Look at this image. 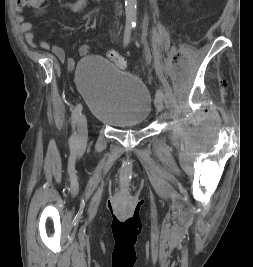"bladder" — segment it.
Segmentation results:
<instances>
[{
	"label": "bladder",
	"instance_id": "obj_1",
	"mask_svg": "<svg viewBox=\"0 0 253 267\" xmlns=\"http://www.w3.org/2000/svg\"><path fill=\"white\" fill-rule=\"evenodd\" d=\"M77 71L79 91L95 119L116 127L149 119L152 96L141 79L97 55L82 58Z\"/></svg>",
	"mask_w": 253,
	"mask_h": 267
}]
</instances>
